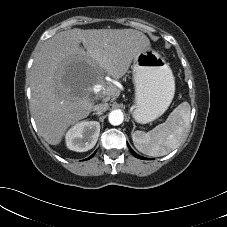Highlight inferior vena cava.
<instances>
[{"label":"inferior vena cava","instance_id":"inferior-vena-cava-1","mask_svg":"<svg viewBox=\"0 0 227 227\" xmlns=\"http://www.w3.org/2000/svg\"><path fill=\"white\" fill-rule=\"evenodd\" d=\"M109 105L108 103H101L93 106V110L97 112H105L108 109Z\"/></svg>","mask_w":227,"mask_h":227}]
</instances>
